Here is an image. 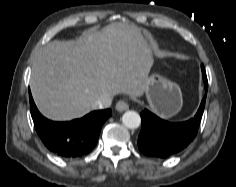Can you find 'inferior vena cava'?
<instances>
[{"label":"inferior vena cava","mask_w":236,"mask_h":187,"mask_svg":"<svg viewBox=\"0 0 236 187\" xmlns=\"http://www.w3.org/2000/svg\"><path fill=\"white\" fill-rule=\"evenodd\" d=\"M112 103V99L110 96H101L98 100H96L93 105L92 108L93 109H105V108H109L111 106Z\"/></svg>","instance_id":"obj_1"}]
</instances>
